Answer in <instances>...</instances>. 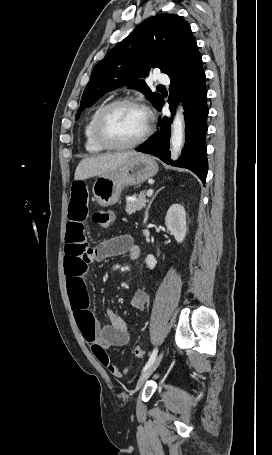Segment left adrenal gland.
Returning a JSON list of instances; mask_svg holds the SVG:
<instances>
[{"label":"left adrenal gland","mask_w":272,"mask_h":455,"mask_svg":"<svg viewBox=\"0 0 272 455\" xmlns=\"http://www.w3.org/2000/svg\"><path fill=\"white\" fill-rule=\"evenodd\" d=\"M163 188H164V187H161L159 190H157L156 193L154 194V196L152 197V199L150 200L149 205H148V207H147V209H146V211H145L144 223H146L147 220H148V211H149V208L151 207V204H152L153 200L156 198V196L158 195V193H159Z\"/></svg>","instance_id":"obj_1"}]
</instances>
